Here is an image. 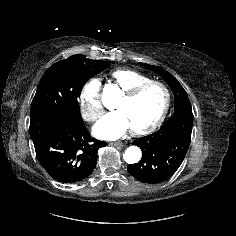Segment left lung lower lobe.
<instances>
[{"label": "left lung lower lobe", "mask_w": 236, "mask_h": 236, "mask_svg": "<svg viewBox=\"0 0 236 236\" xmlns=\"http://www.w3.org/2000/svg\"><path fill=\"white\" fill-rule=\"evenodd\" d=\"M191 105L175 109L173 116L155 133L133 141L142 158L128 166V172L143 183H161L180 167L191 142Z\"/></svg>", "instance_id": "left-lung-lower-lobe-1"}]
</instances>
